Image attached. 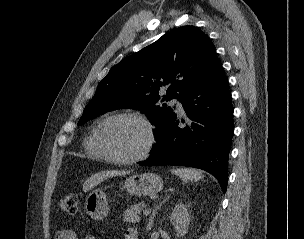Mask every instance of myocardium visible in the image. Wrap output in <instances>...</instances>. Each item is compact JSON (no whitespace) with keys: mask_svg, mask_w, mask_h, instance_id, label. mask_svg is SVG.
<instances>
[{"mask_svg":"<svg viewBox=\"0 0 304 239\" xmlns=\"http://www.w3.org/2000/svg\"><path fill=\"white\" fill-rule=\"evenodd\" d=\"M120 118L135 119V120L141 122L146 128V131H147L146 145L143 148V150L135 156H132V157L117 156V155L111 153L102 143L101 132H102L103 128L109 122L116 120V119H120ZM155 143H156V132H155V128H154V125L152 124V122L145 115L138 113V112H133V111L118 112V113H115V114H112V115L106 117L98 124V126L96 127L95 132H94V144H95L96 148L98 149V151L104 156L105 159H107L108 161H111L113 163H116V164L131 165V164H135V163H138V162L146 159L149 156V154L151 153Z\"/></svg>","mask_w":304,"mask_h":239,"instance_id":"myocardium-1","label":"myocardium"}]
</instances>
